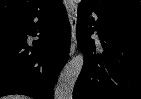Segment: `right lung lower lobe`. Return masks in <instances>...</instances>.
<instances>
[{"label":"right lung lower lobe","mask_w":141,"mask_h":99,"mask_svg":"<svg viewBox=\"0 0 141 99\" xmlns=\"http://www.w3.org/2000/svg\"><path fill=\"white\" fill-rule=\"evenodd\" d=\"M39 40L31 45L27 35ZM71 30L61 0L47 9L0 20V97L53 99V84L68 60Z\"/></svg>","instance_id":"obj_1"}]
</instances>
